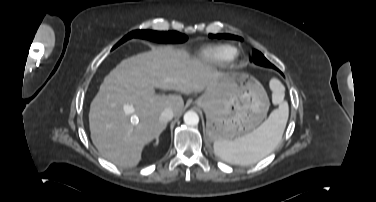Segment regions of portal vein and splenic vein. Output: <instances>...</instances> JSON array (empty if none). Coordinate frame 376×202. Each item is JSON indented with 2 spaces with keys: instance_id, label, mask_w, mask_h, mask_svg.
<instances>
[{
  "instance_id": "portal-vein-and-splenic-vein-1",
  "label": "portal vein and splenic vein",
  "mask_w": 376,
  "mask_h": 202,
  "mask_svg": "<svg viewBox=\"0 0 376 202\" xmlns=\"http://www.w3.org/2000/svg\"><path fill=\"white\" fill-rule=\"evenodd\" d=\"M128 109H130V110H133V108H132V107H128Z\"/></svg>"
}]
</instances>
